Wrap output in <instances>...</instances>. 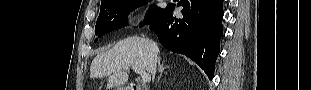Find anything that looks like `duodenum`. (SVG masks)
Instances as JSON below:
<instances>
[{
    "instance_id": "duodenum-1",
    "label": "duodenum",
    "mask_w": 311,
    "mask_h": 90,
    "mask_svg": "<svg viewBox=\"0 0 311 90\" xmlns=\"http://www.w3.org/2000/svg\"><path fill=\"white\" fill-rule=\"evenodd\" d=\"M126 90H146L145 87L137 86V85H131Z\"/></svg>"
}]
</instances>
